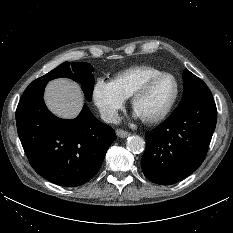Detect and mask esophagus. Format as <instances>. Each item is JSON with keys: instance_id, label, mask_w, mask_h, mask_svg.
<instances>
[{"instance_id": "34e87169", "label": "esophagus", "mask_w": 233, "mask_h": 233, "mask_svg": "<svg viewBox=\"0 0 233 233\" xmlns=\"http://www.w3.org/2000/svg\"><path fill=\"white\" fill-rule=\"evenodd\" d=\"M116 134H117V136L120 137V138H126V137L130 136V133H129V132H127V131H125V130H122V129H117V130H116Z\"/></svg>"}]
</instances>
